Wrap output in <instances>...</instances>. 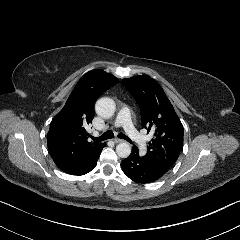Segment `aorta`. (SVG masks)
<instances>
[{
	"instance_id": "aorta-1",
	"label": "aorta",
	"mask_w": 240,
	"mask_h": 240,
	"mask_svg": "<svg viewBox=\"0 0 240 240\" xmlns=\"http://www.w3.org/2000/svg\"><path fill=\"white\" fill-rule=\"evenodd\" d=\"M96 113L102 118H110L116 111V102L110 97H102L95 104ZM116 153L122 158H126L131 153V146L122 141L116 146Z\"/></svg>"
}]
</instances>
